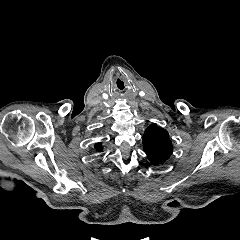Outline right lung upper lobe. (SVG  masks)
Wrapping results in <instances>:
<instances>
[{
    "instance_id": "right-lung-upper-lobe-1",
    "label": "right lung upper lobe",
    "mask_w": 240,
    "mask_h": 240,
    "mask_svg": "<svg viewBox=\"0 0 240 240\" xmlns=\"http://www.w3.org/2000/svg\"><path fill=\"white\" fill-rule=\"evenodd\" d=\"M95 149H96L97 151H102V149H103L102 144H101V143L95 144Z\"/></svg>"
}]
</instances>
